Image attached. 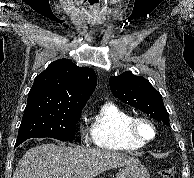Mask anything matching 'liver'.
<instances>
[{
  "instance_id": "1",
  "label": "liver",
  "mask_w": 194,
  "mask_h": 178,
  "mask_svg": "<svg viewBox=\"0 0 194 178\" xmlns=\"http://www.w3.org/2000/svg\"><path fill=\"white\" fill-rule=\"evenodd\" d=\"M139 163L137 158L117 151L48 143L29 149L13 178H94L104 171Z\"/></svg>"
}]
</instances>
